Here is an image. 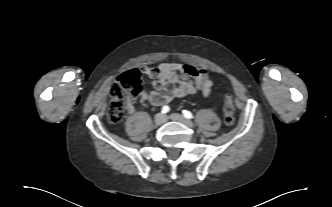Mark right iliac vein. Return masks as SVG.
Listing matches in <instances>:
<instances>
[{
	"instance_id": "63e3f726",
	"label": "right iliac vein",
	"mask_w": 332,
	"mask_h": 207,
	"mask_svg": "<svg viewBox=\"0 0 332 207\" xmlns=\"http://www.w3.org/2000/svg\"><path fill=\"white\" fill-rule=\"evenodd\" d=\"M155 124L160 126L166 122V116L162 113H158L154 118Z\"/></svg>"
}]
</instances>
